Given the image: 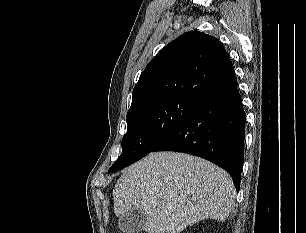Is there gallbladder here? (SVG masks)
Wrapping results in <instances>:
<instances>
[{
	"instance_id": "gallbladder-1",
	"label": "gallbladder",
	"mask_w": 306,
	"mask_h": 233,
	"mask_svg": "<svg viewBox=\"0 0 306 233\" xmlns=\"http://www.w3.org/2000/svg\"><path fill=\"white\" fill-rule=\"evenodd\" d=\"M146 224V214L142 209L131 207L121 217L118 225L123 233H138Z\"/></svg>"
}]
</instances>
